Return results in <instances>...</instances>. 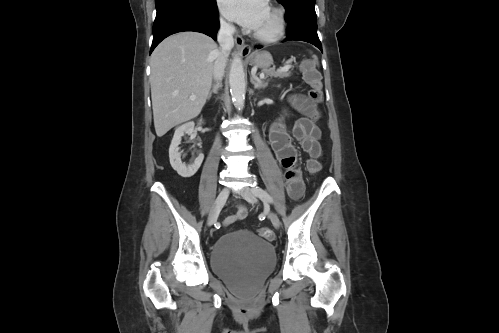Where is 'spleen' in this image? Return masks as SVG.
I'll list each match as a JSON object with an SVG mask.
<instances>
[{
  "instance_id": "obj_1",
  "label": "spleen",
  "mask_w": 499,
  "mask_h": 333,
  "mask_svg": "<svg viewBox=\"0 0 499 333\" xmlns=\"http://www.w3.org/2000/svg\"><path fill=\"white\" fill-rule=\"evenodd\" d=\"M313 58H314L315 62L318 63L317 57L315 55H313Z\"/></svg>"
}]
</instances>
